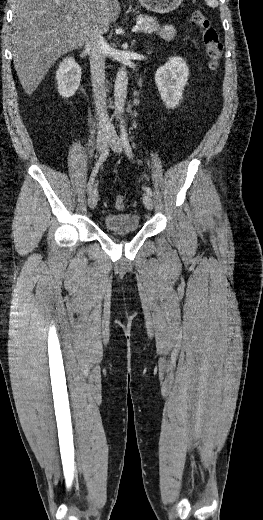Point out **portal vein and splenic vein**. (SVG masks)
<instances>
[{
	"mask_svg": "<svg viewBox=\"0 0 263 520\" xmlns=\"http://www.w3.org/2000/svg\"><path fill=\"white\" fill-rule=\"evenodd\" d=\"M67 19L70 20V19H72V17L68 15V16H67ZM139 24H140V23H138L137 25H135V26L132 28V31H133V32H137V31L140 29V25H139Z\"/></svg>",
	"mask_w": 263,
	"mask_h": 520,
	"instance_id": "obj_1",
	"label": "portal vein and splenic vein"
}]
</instances>
